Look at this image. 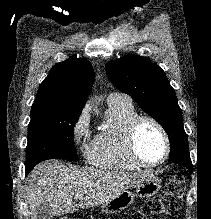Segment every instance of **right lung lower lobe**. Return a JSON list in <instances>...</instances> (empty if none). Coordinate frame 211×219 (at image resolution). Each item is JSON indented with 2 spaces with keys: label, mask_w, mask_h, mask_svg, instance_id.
<instances>
[{
  "label": "right lung lower lobe",
  "mask_w": 211,
  "mask_h": 219,
  "mask_svg": "<svg viewBox=\"0 0 211 219\" xmlns=\"http://www.w3.org/2000/svg\"><path fill=\"white\" fill-rule=\"evenodd\" d=\"M29 172L25 169V174L27 175Z\"/></svg>",
  "instance_id": "right-lung-lower-lobe-1"
}]
</instances>
